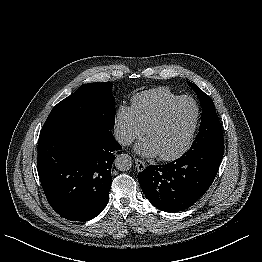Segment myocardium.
Masks as SVG:
<instances>
[{"label":"myocardium","mask_w":262,"mask_h":262,"mask_svg":"<svg viewBox=\"0 0 262 262\" xmlns=\"http://www.w3.org/2000/svg\"><path fill=\"white\" fill-rule=\"evenodd\" d=\"M185 100H190L194 103L195 107H196V115H195V119L192 125V128L190 130V133L188 135V138L186 140V142L174 153L168 154V155H163V154H159V157L162 160L165 161H172L175 159H178L179 157H181L185 152L188 151V149L190 148V146L193 143L197 128H198V124H199V120H200V116H201V109L200 106L198 104V102L196 101V99H194L191 96H180L177 99L173 100L172 102H170L169 104H167L161 111L160 113L149 123V125L146 128V135L148 136L150 131L154 128H156L157 126L161 125L164 120L166 119L167 115L169 114V112L180 102L185 101Z\"/></svg>","instance_id":"obj_1"}]
</instances>
